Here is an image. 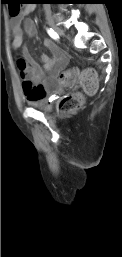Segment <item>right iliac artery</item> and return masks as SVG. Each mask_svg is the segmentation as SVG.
Instances as JSON below:
<instances>
[{"mask_svg": "<svg viewBox=\"0 0 122 257\" xmlns=\"http://www.w3.org/2000/svg\"><path fill=\"white\" fill-rule=\"evenodd\" d=\"M47 33L49 34V36L55 40L58 39V34L53 30V29H47Z\"/></svg>", "mask_w": 122, "mask_h": 257, "instance_id": "1", "label": "right iliac artery"}]
</instances>
